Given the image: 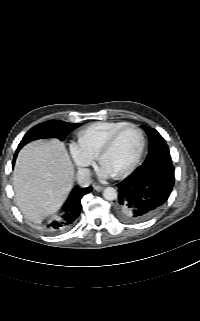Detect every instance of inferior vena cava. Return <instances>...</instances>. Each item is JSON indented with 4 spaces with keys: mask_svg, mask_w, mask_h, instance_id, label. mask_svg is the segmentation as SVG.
<instances>
[{
    "mask_svg": "<svg viewBox=\"0 0 200 321\" xmlns=\"http://www.w3.org/2000/svg\"><path fill=\"white\" fill-rule=\"evenodd\" d=\"M78 184L82 187H88L91 184V173L87 168H79L77 172Z\"/></svg>",
    "mask_w": 200,
    "mask_h": 321,
    "instance_id": "inferior-vena-cava-1",
    "label": "inferior vena cava"
}]
</instances>
